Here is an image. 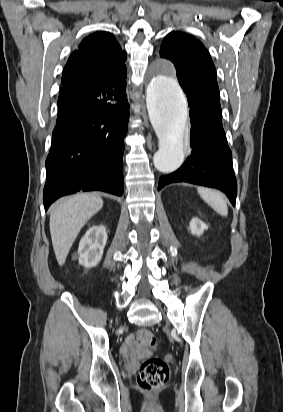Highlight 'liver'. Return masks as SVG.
Masks as SVG:
<instances>
[{
    "label": "liver",
    "instance_id": "1",
    "mask_svg": "<svg viewBox=\"0 0 283 412\" xmlns=\"http://www.w3.org/2000/svg\"><path fill=\"white\" fill-rule=\"evenodd\" d=\"M103 207L96 194L81 193L56 203L50 215V234L57 262L60 266L77 235L87 221Z\"/></svg>",
    "mask_w": 283,
    "mask_h": 412
}]
</instances>
